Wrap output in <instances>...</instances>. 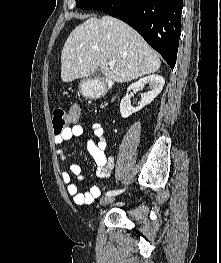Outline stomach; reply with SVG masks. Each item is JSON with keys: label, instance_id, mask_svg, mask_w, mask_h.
Instances as JSON below:
<instances>
[{"label": "stomach", "instance_id": "0dacf381", "mask_svg": "<svg viewBox=\"0 0 221 263\" xmlns=\"http://www.w3.org/2000/svg\"><path fill=\"white\" fill-rule=\"evenodd\" d=\"M81 89L84 90V85L81 86Z\"/></svg>", "mask_w": 221, "mask_h": 263}]
</instances>
